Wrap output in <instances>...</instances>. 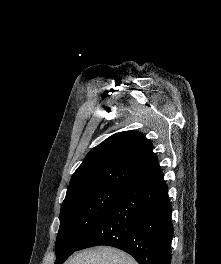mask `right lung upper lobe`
<instances>
[{
  "label": "right lung upper lobe",
  "instance_id": "cb5924a9",
  "mask_svg": "<svg viewBox=\"0 0 221 264\" xmlns=\"http://www.w3.org/2000/svg\"><path fill=\"white\" fill-rule=\"evenodd\" d=\"M152 143L137 131L116 133L93 148L70 180L66 197L99 185H128L159 170Z\"/></svg>",
  "mask_w": 221,
  "mask_h": 264
}]
</instances>
